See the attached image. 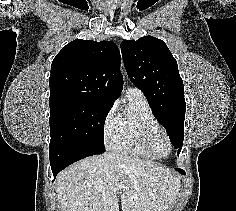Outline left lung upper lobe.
<instances>
[{
  "instance_id": "5c2ea615",
  "label": "left lung upper lobe",
  "mask_w": 236,
  "mask_h": 211,
  "mask_svg": "<svg viewBox=\"0 0 236 211\" xmlns=\"http://www.w3.org/2000/svg\"><path fill=\"white\" fill-rule=\"evenodd\" d=\"M121 53L128 77L143 91L154 116L180 152L186 103L177 61L165 42L152 36L124 40Z\"/></svg>"
}]
</instances>
